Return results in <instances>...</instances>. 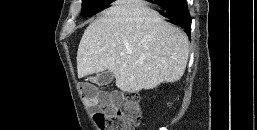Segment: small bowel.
Returning <instances> with one entry per match:
<instances>
[{
  "label": "small bowel",
  "instance_id": "1",
  "mask_svg": "<svg viewBox=\"0 0 257 130\" xmlns=\"http://www.w3.org/2000/svg\"><path fill=\"white\" fill-rule=\"evenodd\" d=\"M120 96L116 93H107L97 90L93 98H83L84 104L92 111L104 110L109 112L115 109L120 103Z\"/></svg>",
  "mask_w": 257,
  "mask_h": 130
}]
</instances>
